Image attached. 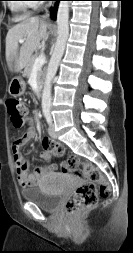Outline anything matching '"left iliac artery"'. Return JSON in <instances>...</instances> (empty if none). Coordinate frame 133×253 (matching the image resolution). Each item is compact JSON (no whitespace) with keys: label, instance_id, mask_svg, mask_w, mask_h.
<instances>
[{"label":"left iliac artery","instance_id":"1","mask_svg":"<svg viewBox=\"0 0 133 253\" xmlns=\"http://www.w3.org/2000/svg\"><path fill=\"white\" fill-rule=\"evenodd\" d=\"M45 117H46L47 123H48V124H51L52 119H51L50 113H47V115H46Z\"/></svg>","mask_w":133,"mask_h":253}]
</instances>
